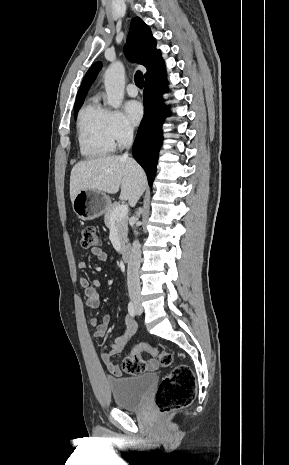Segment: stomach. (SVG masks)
I'll list each match as a JSON object with an SVG mask.
<instances>
[{
  "label": "stomach",
  "mask_w": 289,
  "mask_h": 465,
  "mask_svg": "<svg viewBox=\"0 0 289 465\" xmlns=\"http://www.w3.org/2000/svg\"><path fill=\"white\" fill-rule=\"evenodd\" d=\"M109 197L96 190H82L72 202L73 211L82 220L99 218L110 205Z\"/></svg>",
  "instance_id": "stomach-1"
}]
</instances>
